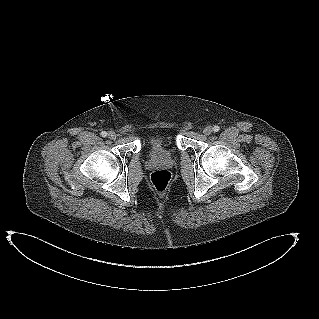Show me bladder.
<instances>
[{
  "label": "bladder",
  "mask_w": 319,
  "mask_h": 319,
  "mask_svg": "<svg viewBox=\"0 0 319 319\" xmlns=\"http://www.w3.org/2000/svg\"><path fill=\"white\" fill-rule=\"evenodd\" d=\"M169 139L163 137L150 138L146 141L145 145L149 152L152 154H159L163 151L166 142Z\"/></svg>",
  "instance_id": "31cf9c89"
}]
</instances>
